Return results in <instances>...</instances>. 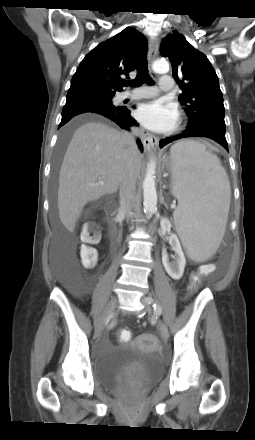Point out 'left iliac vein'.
Returning a JSON list of instances; mask_svg holds the SVG:
<instances>
[{"instance_id": "4c4485c4", "label": "left iliac vein", "mask_w": 255, "mask_h": 440, "mask_svg": "<svg viewBox=\"0 0 255 440\" xmlns=\"http://www.w3.org/2000/svg\"><path fill=\"white\" fill-rule=\"evenodd\" d=\"M146 298L147 297H143L141 299L142 303L144 304V306L149 314L156 316V314L153 312L152 307L146 301ZM157 324H158V330L161 334L162 339L166 341L169 338V332H168V328H167L166 324L161 319L157 320Z\"/></svg>"}]
</instances>
